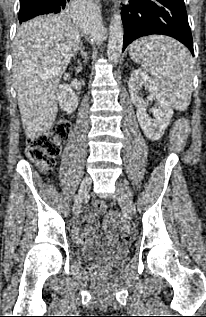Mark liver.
<instances>
[{"label": "liver", "mask_w": 206, "mask_h": 317, "mask_svg": "<svg viewBox=\"0 0 206 317\" xmlns=\"http://www.w3.org/2000/svg\"><path fill=\"white\" fill-rule=\"evenodd\" d=\"M81 44L66 14L36 17L22 24L13 46V81L28 138L49 130L58 111L57 87Z\"/></svg>", "instance_id": "6515ba94"}]
</instances>
